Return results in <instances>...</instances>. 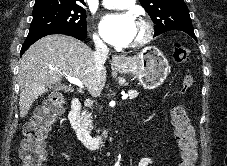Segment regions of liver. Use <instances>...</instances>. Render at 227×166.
Masks as SVG:
<instances>
[{
    "mask_svg": "<svg viewBox=\"0 0 227 166\" xmlns=\"http://www.w3.org/2000/svg\"><path fill=\"white\" fill-rule=\"evenodd\" d=\"M62 76L79 79L91 95L103 88L106 69L96 77L94 52L85 43L66 35H49L34 43L22 56L19 68V109L24 118L47 87H60ZM100 83V85H99Z\"/></svg>",
    "mask_w": 227,
    "mask_h": 166,
    "instance_id": "obj_1",
    "label": "liver"
}]
</instances>
